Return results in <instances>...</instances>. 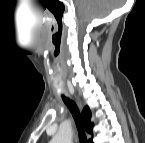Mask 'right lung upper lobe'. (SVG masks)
<instances>
[{
  "label": "right lung upper lobe",
  "mask_w": 145,
  "mask_h": 143,
  "mask_svg": "<svg viewBox=\"0 0 145 143\" xmlns=\"http://www.w3.org/2000/svg\"><path fill=\"white\" fill-rule=\"evenodd\" d=\"M91 119V112L87 107L82 112V121L88 133L92 134L93 124L90 122Z\"/></svg>",
  "instance_id": "1"
}]
</instances>
